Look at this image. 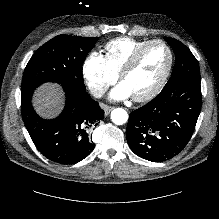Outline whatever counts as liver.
<instances>
[{"label":"liver","instance_id":"6515ba94","mask_svg":"<svg viewBox=\"0 0 219 219\" xmlns=\"http://www.w3.org/2000/svg\"><path fill=\"white\" fill-rule=\"evenodd\" d=\"M36 111L43 117H53L61 109L62 91L59 85L45 84L37 89L34 96Z\"/></svg>","mask_w":219,"mask_h":219}]
</instances>
